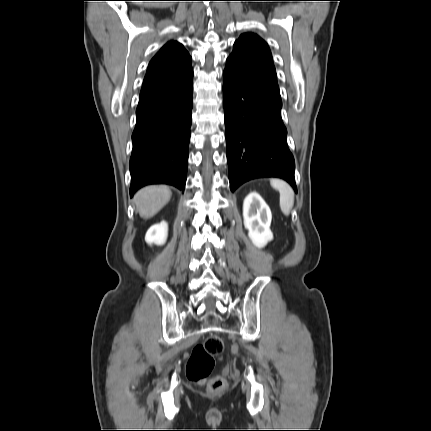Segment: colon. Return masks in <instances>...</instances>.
I'll return each mask as SVG.
<instances>
[{
	"mask_svg": "<svg viewBox=\"0 0 431 431\" xmlns=\"http://www.w3.org/2000/svg\"><path fill=\"white\" fill-rule=\"evenodd\" d=\"M223 350V340L215 334L208 336L204 342L197 344L187 362V377L196 384H207L210 393L220 392L225 386V379L222 376L211 377V373L216 358L220 355L221 359L225 358V355L222 354Z\"/></svg>",
	"mask_w": 431,
	"mask_h": 431,
	"instance_id": "5ec220e1",
	"label": "colon"
}]
</instances>
